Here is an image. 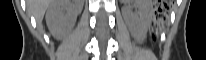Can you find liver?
I'll return each mask as SVG.
<instances>
[{
  "label": "liver",
  "instance_id": "obj_1",
  "mask_svg": "<svg viewBox=\"0 0 206 60\" xmlns=\"http://www.w3.org/2000/svg\"><path fill=\"white\" fill-rule=\"evenodd\" d=\"M69 1L68 3H70ZM74 4H71L66 10H60L57 13V20L55 22H50L47 20V24L52 34L55 37H60L64 34L67 29V24L71 19L81 11L83 0H74ZM60 2L58 0H27V9L30 14H32L37 23H41L48 7L52 5H58Z\"/></svg>",
  "mask_w": 206,
  "mask_h": 60
}]
</instances>
